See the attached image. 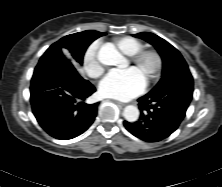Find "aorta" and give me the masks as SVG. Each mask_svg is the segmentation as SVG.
<instances>
[{"mask_svg":"<svg viewBox=\"0 0 222 187\" xmlns=\"http://www.w3.org/2000/svg\"><path fill=\"white\" fill-rule=\"evenodd\" d=\"M98 60L105 66H117L122 63L123 56L112 46H102L98 51ZM123 117L128 122H135L139 118V110L136 106L128 105L124 108Z\"/></svg>","mask_w":222,"mask_h":187,"instance_id":"obj_1","label":"aorta"}]
</instances>
